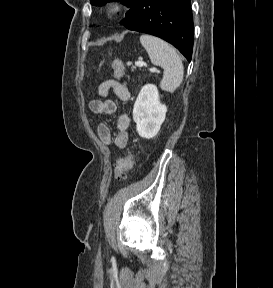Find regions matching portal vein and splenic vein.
<instances>
[{
    "mask_svg": "<svg viewBox=\"0 0 273 288\" xmlns=\"http://www.w3.org/2000/svg\"><path fill=\"white\" fill-rule=\"evenodd\" d=\"M135 66L137 67H143V66H146V63H144L143 61H138V62H135ZM152 72H158L157 69H153L151 70Z\"/></svg>",
    "mask_w": 273,
    "mask_h": 288,
    "instance_id": "obj_1",
    "label": "portal vein and splenic vein"
}]
</instances>
